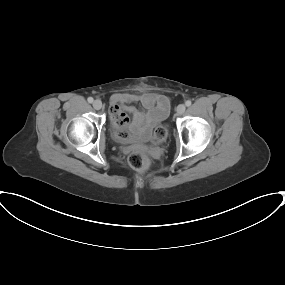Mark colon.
I'll return each instance as SVG.
<instances>
[{"mask_svg": "<svg viewBox=\"0 0 285 285\" xmlns=\"http://www.w3.org/2000/svg\"><path fill=\"white\" fill-rule=\"evenodd\" d=\"M124 122L123 120L118 121V129L121 133H124L123 130ZM167 135V129L163 125H158L154 130V137L156 140L161 141ZM129 165L135 170H146L150 167L151 161L150 159L143 153L134 151L128 157Z\"/></svg>", "mask_w": 285, "mask_h": 285, "instance_id": "colon-1", "label": "colon"}]
</instances>
